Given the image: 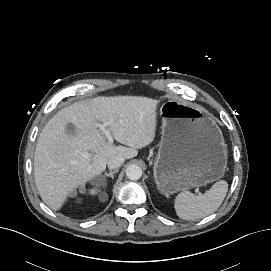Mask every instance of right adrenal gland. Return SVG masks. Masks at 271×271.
Instances as JSON below:
<instances>
[{
  "label": "right adrenal gland",
  "instance_id": "obj_1",
  "mask_svg": "<svg viewBox=\"0 0 271 271\" xmlns=\"http://www.w3.org/2000/svg\"><path fill=\"white\" fill-rule=\"evenodd\" d=\"M118 169H115L113 171H110L109 173H105V177H111L112 179H114V174L118 173Z\"/></svg>",
  "mask_w": 271,
  "mask_h": 271
}]
</instances>
